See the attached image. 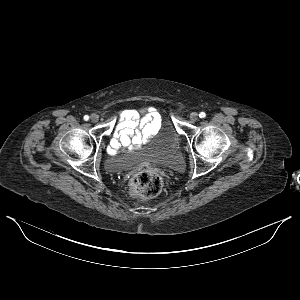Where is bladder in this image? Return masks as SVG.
Instances as JSON below:
<instances>
[{
    "mask_svg": "<svg viewBox=\"0 0 300 300\" xmlns=\"http://www.w3.org/2000/svg\"><path fill=\"white\" fill-rule=\"evenodd\" d=\"M144 156L158 160L162 165L179 170L183 162V150L177 133L169 126L155 134L139 150ZM127 165L124 156L110 157L106 161V169L109 172L117 173Z\"/></svg>",
    "mask_w": 300,
    "mask_h": 300,
    "instance_id": "bladder-1",
    "label": "bladder"
}]
</instances>
